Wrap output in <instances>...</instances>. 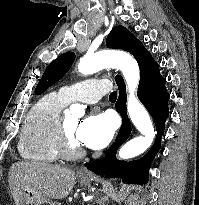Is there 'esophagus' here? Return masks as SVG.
Here are the masks:
<instances>
[{
	"instance_id": "esophagus-1",
	"label": "esophagus",
	"mask_w": 199,
	"mask_h": 205,
	"mask_svg": "<svg viewBox=\"0 0 199 205\" xmlns=\"http://www.w3.org/2000/svg\"><path fill=\"white\" fill-rule=\"evenodd\" d=\"M79 174L83 177H92L93 174L86 169H80Z\"/></svg>"
}]
</instances>
